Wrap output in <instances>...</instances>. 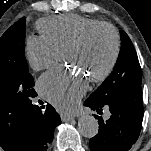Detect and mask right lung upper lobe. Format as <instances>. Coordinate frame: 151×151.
<instances>
[{"label":"right lung upper lobe","mask_w":151,"mask_h":151,"mask_svg":"<svg viewBox=\"0 0 151 151\" xmlns=\"http://www.w3.org/2000/svg\"><path fill=\"white\" fill-rule=\"evenodd\" d=\"M31 103L0 99V145L5 151H27L32 132Z\"/></svg>","instance_id":"obj_1"}]
</instances>
